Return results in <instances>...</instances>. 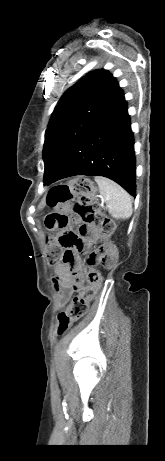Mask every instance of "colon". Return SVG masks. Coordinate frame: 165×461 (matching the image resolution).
<instances>
[{"label": "colon", "mask_w": 165, "mask_h": 461, "mask_svg": "<svg viewBox=\"0 0 165 461\" xmlns=\"http://www.w3.org/2000/svg\"><path fill=\"white\" fill-rule=\"evenodd\" d=\"M94 199L95 189L87 178H78L67 184L55 186L47 195V205L53 210L45 219L46 228L52 232L48 238V245L51 248L47 256L49 265L60 261V251H68L56 249V241L53 237L57 229L66 227L69 220L66 213L68 210L84 224L96 225L102 237L101 245L88 258V266L85 269L87 286L72 298L67 310L58 317L59 335L65 334L73 323L86 315L90 302L98 294L103 279L95 265L110 266L115 261V249L108 241L115 229L114 222L108 215L99 212Z\"/></svg>", "instance_id": "1"}]
</instances>
